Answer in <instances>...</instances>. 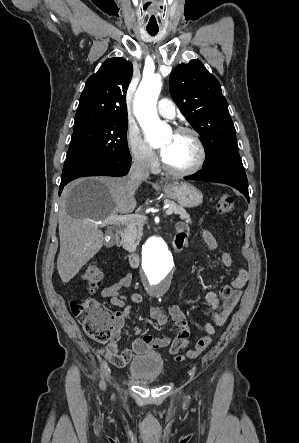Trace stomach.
<instances>
[{
	"instance_id": "stomach-1",
	"label": "stomach",
	"mask_w": 299,
	"mask_h": 443,
	"mask_svg": "<svg viewBox=\"0 0 299 443\" xmlns=\"http://www.w3.org/2000/svg\"><path fill=\"white\" fill-rule=\"evenodd\" d=\"M163 190L169 198L177 201L182 207H197L203 201L201 191L186 182L168 183L163 186Z\"/></svg>"
}]
</instances>
